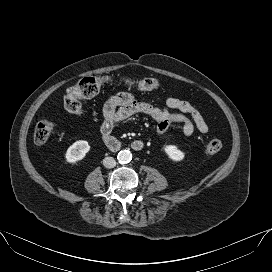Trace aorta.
<instances>
[{"mask_svg": "<svg viewBox=\"0 0 272 272\" xmlns=\"http://www.w3.org/2000/svg\"><path fill=\"white\" fill-rule=\"evenodd\" d=\"M117 159L120 163H128L132 159V154L129 150H121L117 155Z\"/></svg>", "mask_w": 272, "mask_h": 272, "instance_id": "aorta-1", "label": "aorta"}]
</instances>
